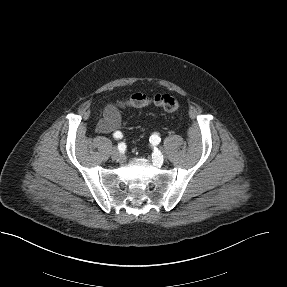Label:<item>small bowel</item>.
<instances>
[{
	"mask_svg": "<svg viewBox=\"0 0 287 287\" xmlns=\"http://www.w3.org/2000/svg\"><path fill=\"white\" fill-rule=\"evenodd\" d=\"M121 126V115L118 108L114 104H108L103 116L97 124V130L100 133L117 132Z\"/></svg>",
	"mask_w": 287,
	"mask_h": 287,
	"instance_id": "c3829d8e",
	"label": "small bowel"
}]
</instances>
